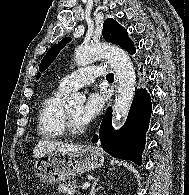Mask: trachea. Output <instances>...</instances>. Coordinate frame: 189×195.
Masks as SVG:
<instances>
[{
	"instance_id": "1",
	"label": "trachea",
	"mask_w": 189,
	"mask_h": 195,
	"mask_svg": "<svg viewBox=\"0 0 189 195\" xmlns=\"http://www.w3.org/2000/svg\"><path fill=\"white\" fill-rule=\"evenodd\" d=\"M114 78V75L112 73H109L106 75V79H113Z\"/></svg>"
}]
</instances>
